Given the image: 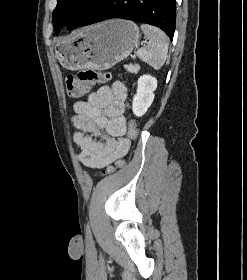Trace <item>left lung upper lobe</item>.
Listing matches in <instances>:
<instances>
[{"instance_id": "5c2ea615", "label": "left lung upper lobe", "mask_w": 247, "mask_h": 280, "mask_svg": "<svg viewBox=\"0 0 247 280\" xmlns=\"http://www.w3.org/2000/svg\"><path fill=\"white\" fill-rule=\"evenodd\" d=\"M53 11V24L55 31L59 26L68 24L70 29L78 27L86 17L105 0H57Z\"/></svg>"}]
</instances>
